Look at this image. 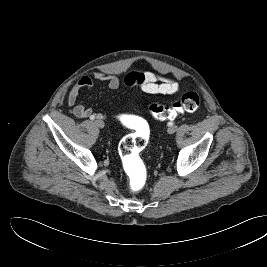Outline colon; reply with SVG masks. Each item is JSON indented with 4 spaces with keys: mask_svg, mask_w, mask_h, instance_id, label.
<instances>
[{
    "mask_svg": "<svg viewBox=\"0 0 267 267\" xmlns=\"http://www.w3.org/2000/svg\"><path fill=\"white\" fill-rule=\"evenodd\" d=\"M201 106V98L196 92H187L170 106L151 103L149 112L159 120L175 118L183 112L197 111ZM119 121L129 126L133 132L125 136L119 145V153L124 169L129 177V187L132 192L143 189L147 180V171L141 159V152L149 140V128L147 124L138 119L128 116H119Z\"/></svg>",
    "mask_w": 267,
    "mask_h": 267,
    "instance_id": "5ec220e1",
    "label": "colon"
}]
</instances>
